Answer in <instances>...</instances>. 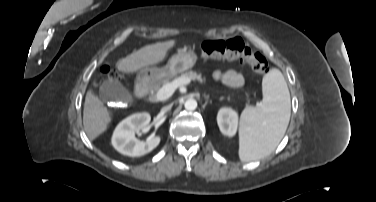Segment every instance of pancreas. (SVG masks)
Listing matches in <instances>:
<instances>
[{
    "instance_id": "cf45deb5",
    "label": "pancreas",
    "mask_w": 376,
    "mask_h": 202,
    "mask_svg": "<svg viewBox=\"0 0 376 202\" xmlns=\"http://www.w3.org/2000/svg\"><path fill=\"white\" fill-rule=\"evenodd\" d=\"M178 78H185V79L195 80V81H198L200 83L205 82V79L202 78L201 74H198L197 72L192 71V70L183 72L180 76L176 77L175 79H178ZM170 82H172V78L171 77H163V78H161V79H159V80L151 83V85H150V92H151L150 100L151 101H157L156 93L158 92V90L163 85L168 84Z\"/></svg>"
}]
</instances>
